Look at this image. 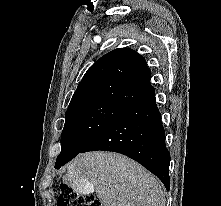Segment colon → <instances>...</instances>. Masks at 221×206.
<instances>
[{
    "label": "colon",
    "instance_id": "colon-1",
    "mask_svg": "<svg viewBox=\"0 0 221 206\" xmlns=\"http://www.w3.org/2000/svg\"><path fill=\"white\" fill-rule=\"evenodd\" d=\"M58 206H102V204L93 196L73 194V190L62 185L58 197Z\"/></svg>",
    "mask_w": 221,
    "mask_h": 206
}]
</instances>
